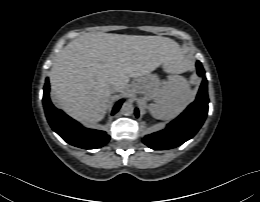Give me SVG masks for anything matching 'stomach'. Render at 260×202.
<instances>
[{
    "label": "stomach",
    "instance_id": "obj_1",
    "mask_svg": "<svg viewBox=\"0 0 260 202\" xmlns=\"http://www.w3.org/2000/svg\"><path fill=\"white\" fill-rule=\"evenodd\" d=\"M137 93L143 94L148 99H153L161 89V81L155 74L140 77L134 83Z\"/></svg>",
    "mask_w": 260,
    "mask_h": 202
}]
</instances>
